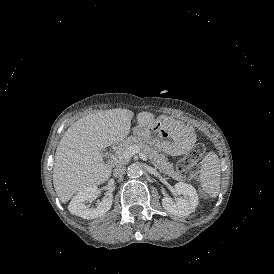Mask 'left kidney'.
I'll return each mask as SVG.
<instances>
[{
  "label": "left kidney",
  "mask_w": 274,
  "mask_h": 274,
  "mask_svg": "<svg viewBox=\"0 0 274 274\" xmlns=\"http://www.w3.org/2000/svg\"><path fill=\"white\" fill-rule=\"evenodd\" d=\"M176 204L172 202L168 195L162 197V206L170 214L176 217H186L195 211L198 196L194 188L183 182L175 184Z\"/></svg>",
  "instance_id": "5707ae66"
}]
</instances>
